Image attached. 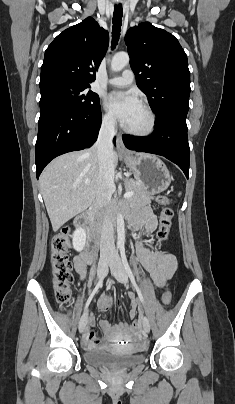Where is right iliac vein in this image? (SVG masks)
<instances>
[{
  "label": "right iliac vein",
  "instance_id": "obj_1",
  "mask_svg": "<svg viewBox=\"0 0 235 404\" xmlns=\"http://www.w3.org/2000/svg\"><path fill=\"white\" fill-rule=\"evenodd\" d=\"M107 267H108V259H104L102 260L99 264H98V269H97V276L98 279H102L104 278V276L106 275L107 272ZM86 326V317L81 318L80 322H79V332L82 333L84 328Z\"/></svg>",
  "mask_w": 235,
  "mask_h": 404
}]
</instances>
